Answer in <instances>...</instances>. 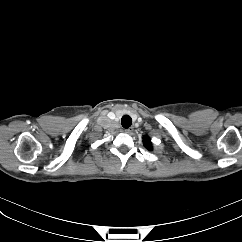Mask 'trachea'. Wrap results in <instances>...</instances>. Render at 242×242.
Returning <instances> with one entry per match:
<instances>
[{
    "label": "trachea",
    "instance_id": "3493384b",
    "mask_svg": "<svg viewBox=\"0 0 242 242\" xmlns=\"http://www.w3.org/2000/svg\"><path fill=\"white\" fill-rule=\"evenodd\" d=\"M121 124L124 128H129L132 125V119L128 115H124L121 119Z\"/></svg>",
    "mask_w": 242,
    "mask_h": 242
}]
</instances>
